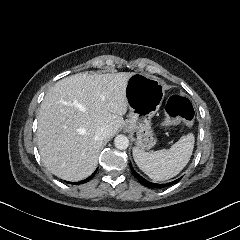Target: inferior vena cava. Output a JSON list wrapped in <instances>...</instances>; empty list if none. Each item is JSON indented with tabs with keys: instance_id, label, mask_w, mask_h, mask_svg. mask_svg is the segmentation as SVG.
<instances>
[{
	"instance_id": "1",
	"label": "inferior vena cava",
	"mask_w": 240,
	"mask_h": 240,
	"mask_svg": "<svg viewBox=\"0 0 240 240\" xmlns=\"http://www.w3.org/2000/svg\"><path fill=\"white\" fill-rule=\"evenodd\" d=\"M96 137L100 140H104L108 136V130L106 128H100L96 130Z\"/></svg>"
}]
</instances>
